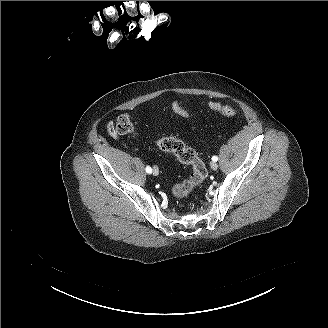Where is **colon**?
I'll use <instances>...</instances> for the list:
<instances>
[{
    "label": "colon",
    "instance_id": "colon-1",
    "mask_svg": "<svg viewBox=\"0 0 328 328\" xmlns=\"http://www.w3.org/2000/svg\"><path fill=\"white\" fill-rule=\"evenodd\" d=\"M210 110L217 112L225 117H234L236 111L232 106L212 103L209 105ZM172 111L180 117H189L188 112L184 109L179 101L171 103ZM112 134L128 135L135 137L132 115L130 113L121 114L114 125L109 127ZM157 147L163 151L174 154L182 163L192 167L190 175L183 181L177 183L173 188V195L181 200L186 198L195 188L200 186L207 177V169L197 153L190 147L186 146L181 140L173 137H161L155 140Z\"/></svg>",
    "mask_w": 328,
    "mask_h": 328
}]
</instances>
